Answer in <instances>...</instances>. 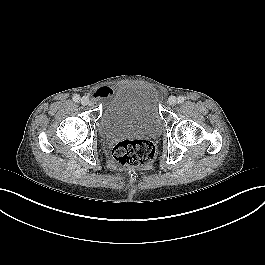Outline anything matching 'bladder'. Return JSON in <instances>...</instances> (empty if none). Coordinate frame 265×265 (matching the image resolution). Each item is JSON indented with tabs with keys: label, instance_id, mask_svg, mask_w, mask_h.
Here are the masks:
<instances>
[{
	"label": "bladder",
	"instance_id": "31cf9c89",
	"mask_svg": "<svg viewBox=\"0 0 265 265\" xmlns=\"http://www.w3.org/2000/svg\"><path fill=\"white\" fill-rule=\"evenodd\" d=\"M163 128L155 88L148 84H123L107 97L98 131L105 140L121 135L156 136Z\"/></svg>",
	"mask_w": 265,
	"mask_h": 265
}]
</instances>
